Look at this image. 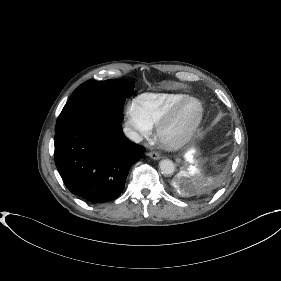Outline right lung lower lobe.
<instances>
[{"mask_svg": "<svg viewBox=\"0 0 281 281\" xmlns=\"http://www.w3.org/2000/svg\"><path fill=\"white\" fill-rule=\"evenodd\" d=\"M144 151L124 136L120 122H78L55 130V164L66 187L92 203L116 199Z\"/></svg>", "mask_w": 281, "mask_h": 281, "instance_id": "1", "label": "right lung lower lobe"}]
</instances>
